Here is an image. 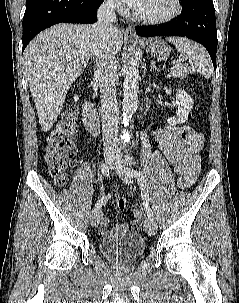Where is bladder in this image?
<instances>
[{
  "label": "bladder",
  "instance_id": "obj_1",
  "mask_svg": "<svg viewBox=\"0 0 239 303\" xmlns=\"http://www.w3.org/2000/svg\"><path fill=\"white\" fill-rule=\"evenodd\" d=\"M101 253L110 259L129 263L139 257L145 249V243L139 233H127L99 243Z\"/></svg>",
  "mask_w": 239,
  "mask_h": 303
}]
</instances>
